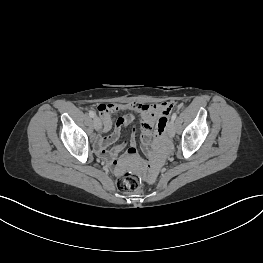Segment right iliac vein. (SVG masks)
<instances>
[{
	"instance_id": "1",
	"label": "right iliac vein",
	"mask_w": 263,
	"mask_h": 263,
	"mask_svg": "<svg viewBox=\"0 0 263 263\" xmlns=\"http://www.w3.org/2000/svg\"><path fill=\"white\" fill-rule=\"evenodd\" d=\"M93 123L95 130L99 131L102 127L101 120L98 117H94Z\"/></svg>"
}]
</instances>
